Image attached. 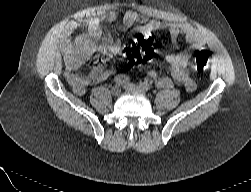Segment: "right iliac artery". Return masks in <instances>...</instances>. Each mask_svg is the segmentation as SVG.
<instances>
[{
    "label": "right iliac artery",
    "instance_id": "82829eb1",
    "mask_svg": "<svg viewBox=\"0 0 251 192\" xmlns=\"http://www.w3.org/2000/svg\"><path fill=\"white\" fill-rule=\"evenodd\" d=\"M114 82L116 85H122L124 83L129 82V77L125 74H119V75L115 76Z\"/></svg>",
    "mask_w": 251,
    "mask_h": 192
}]
</instances>
